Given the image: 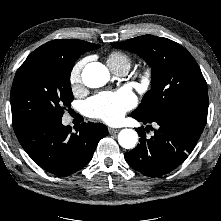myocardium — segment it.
I'll list each match as a JSON object with an SVG mask.
<instances>
[{
  "label": "myocardium",
  "instance_id": "obj_1",
  "mask_svg": "<svg viewBox=\"0 0 221 221\" xmlns=\"http://www.w3.org/2000/svg\"><path fill=\"white\" fill-rule=\"evenodd\" d=\"M140 77L144 80L149 81L151 78V70L149 68H144L141 72H140Z\"/></svg>",
  "mask_w": 221,
  "mask_h": 221
}]
</instances>
